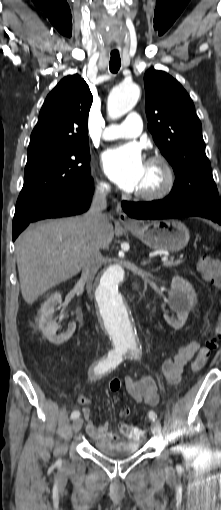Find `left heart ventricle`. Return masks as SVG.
Masks as SVG:
<instances>
[{"instance_id": "obj_1", "label": "left heart ventricle", "mask_w": 221, "mask_h": 510, "mask_svg": "<svg viewBox=\"0 0 221 510\" xmlns=\"http://www.w3.org/2000/svg\"><path fill=\"white\" fill-rule=\"evenodd\" d=\"M163 182V171L156 164L145 163L144 174L137 191H154L158 189Z\"/></svg>"}]
</instances>
